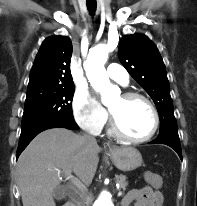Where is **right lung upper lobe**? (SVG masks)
<instances>
[{
    "instance_id": "obj_1",
    "label": "right lung upper lobe",
    "mask_w": 197,
    "mask_h": 206,
    "mask_svg": "<svg viewBox=\"0 0 197 206\" xmlns=\"http://www.w3.org/2000/svg\"><path fill=\"white\" fill-rule=\"evenodd\" d=\"M72 42L66 36L45 39L30 71L28 89L74 85L70 61Z\"/></svg>"
}]
</instances>
